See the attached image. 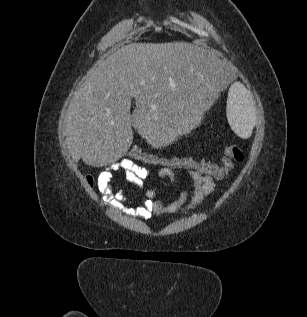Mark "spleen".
<instances>
[{"instance_id":"1","label":"spleen","mask_w":307,"mask_h":317,"mask_svg":"<svg viewBox=\"0 0 307 317\" xmlns=\"http://www.w3.org/2000/svg\"><path fill=\"white\" fill-rule=\"evenodd\" d=\"M227 103V118L232 130L243 139L249 138L256 122L255 106L249 92L235 83Z\"/></svg>"}]
</instances>
